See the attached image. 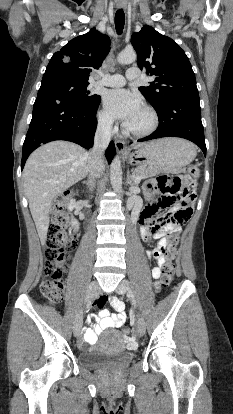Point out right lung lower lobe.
<instances>
[{"instance_id": "right-lung-lower-lobe-1", "label": "right lung lower lobe", "mask_w": 233, "mask_h": 414, "mask_svg": "<svg viewBox=\"0 0 233 414\" xmlns=\"http://www.w3.org/2000/svg\"><path fill=\"white\" fill-rule=\"evenodd\" d=\"M100 101L93 105H76L52 96L37 97L33 116L22 152L21 169L28 156L41 144L54 140L75 142L86 149L93 146ZM115 146L110 142L106 150L108 163L115 155Z\"/></svg>"}]
</instances>
